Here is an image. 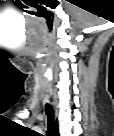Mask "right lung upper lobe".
Here are the masks:
<instances>
[{"instance_id":"obj_1","label":"right lung upper lobe","mask_w":114,"mask_h":136,"mask_svg":"<svg viewBox=\"0 0 114 136\" xmlns=\"http://www.w3.org/2000/svg\"><path fill=\"white\" fill-rule=\"evenodd\" d=\"M56 134H58V129H56Z\"/></svg>"}]
</instances>
